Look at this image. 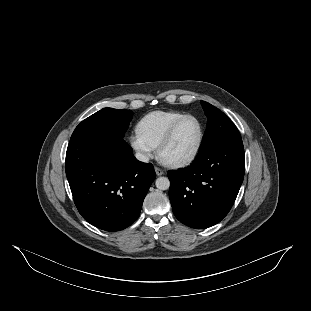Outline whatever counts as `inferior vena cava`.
I'll return each mask as SVG.
<instances>
[{"label": "inferior vena cava", "mask_w": 311, "mask_h": 311, "mask_svg": "<svg viewBox=\"0 0 311 311\" xmlns=\"http://www.w3.org/2000/svg\"><path fill=\"white\" fill-rule=\"evenodd\" d=\"M135 157L137 160L141 161V162H148L149 161V157L143 153L137 152L135 154Z\"/></svg>", "instance_id": "inferior-vena-cava-1"}]
</instances>
